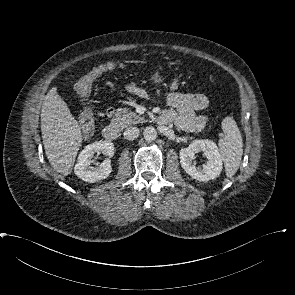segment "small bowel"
Returning a JSON list of instances; mask_svg holds the SVG:
<instances>
[{"instance_id": "c3829d8e", "label": "small bowel", "mask_w": 295, "mask_h": 295, "mask_svg": "<svg viewBox=\"0 0 295 295\" xmlns=\"http://www.w3.org/2000/svg\"><path fill=\"white\" fill-rule=\"evenodd\" d=\"M107 87L112 88V85L107 84ZM126 90L139 97L150 99L149 94L136 84H128ZM166 105L167 109L159 117L160 123H174L180 129L188 131H197L205 123L204 117L196 115V111L208 106V99L203 94L178 92L176 84H173L167 96Z\"/></svg>"}]
</instances>
